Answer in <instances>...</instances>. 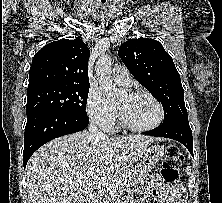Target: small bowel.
Returning a JSON list of instances; mask_svg holds the SVG:
<instances>
[{"mask_svg": "<svg viewBox=\"0 0 222 203\" xmlns=\"http://www.w3.org/2000/svg\"><path fill=\"white\" fill-rule=\"evenodd\" d=\"M151 194L161 203H183L184 190L179 184H167L159 176H152L145 187L137 191L139 198Z\"/></svg>", "mask_w": 222, "mask_h": 203, "instance_id": "obj_1", "label": "small bowel"}]
</instances>
